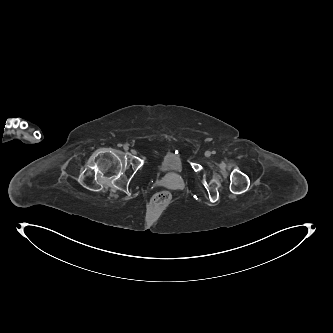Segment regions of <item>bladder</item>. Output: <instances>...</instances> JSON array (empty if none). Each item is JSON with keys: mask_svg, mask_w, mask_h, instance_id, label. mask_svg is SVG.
<instances>
[{"mask_svg": "<svg viewBox=\"0 0 333 333\" xmlns=\"http://www.w3.org/2000/svg\"><path fill=\"white\" fill-rule=\"evenodd\" d=\"M158 169L159 173L162 175H166L169 173H182V159L178 154L174 152H167L161 158Z\"/></svg>", "mask_w": 333, "mask_h": 333, "instance_id": "1", "label": "bladder"}]
</instances>
